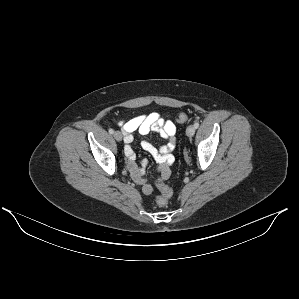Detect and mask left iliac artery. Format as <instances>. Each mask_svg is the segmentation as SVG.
<instances>
[{"instance_id":"44dca946","label":"left iliac artery","mask_w":299,"mask_h":299,"mask_svg":"<svg viewBox=\"0 0 299 299\" xmlns=\"http://www.w3.org/2000/svg\"><path fill=\"white\" fill-rule=\"evenodd\" d=\"M194 127L197 129L199 127V122H195Z\"/></svg>"}]
</instances>
